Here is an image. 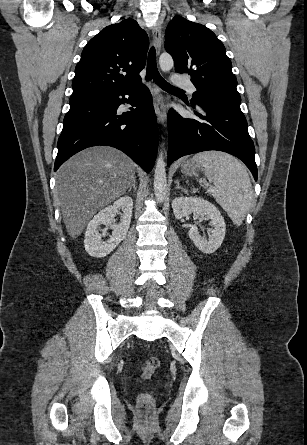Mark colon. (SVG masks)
Instances as JSON below:
<instances>
[{"label":"colon","instance_id":"1","mask_svg":"<svg viewBox=\"0 0 307 445\" xmlns=\"http://www.w3.org/2000/svg\"><path fill=\"white\" fill-rule=\"evenodd\" d=\"M160 366V361L156 357H150L145 360L141 366L140 372L143 378H149ZM140 408L144 410L151 409L154 404L153 396L150 393H142L138 397Z\"/></svg>","mask_w":307,"mask_h":445}]
</instances>
